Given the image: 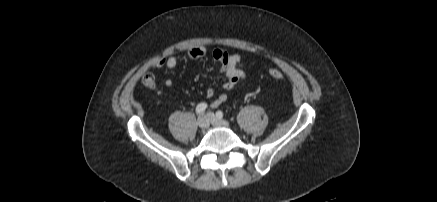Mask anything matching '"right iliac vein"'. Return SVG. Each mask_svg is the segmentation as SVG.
Returning <instances> with one entry per match:
<instances>
[{"instance_id":"1","label":"right iliac vein","mask_w":437,"mask_h":202,"mask_svg":"<svg viewBox=\"0 0 437 202\" xmlns=\"http://www.w3.org/2000/svg\"><path fill=\"white\" fill-rule=\"evenodd\" d=\"M198 126L205 130L209 127V118L206 115H200L197 120Z\"/></svg>"}]
</instances>
